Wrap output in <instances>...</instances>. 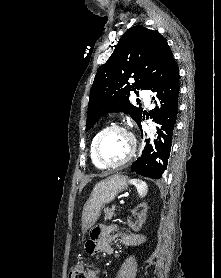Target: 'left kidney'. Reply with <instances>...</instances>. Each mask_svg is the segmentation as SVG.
Here are the masks:
<instances>
[{"mask_svg":"<svg viewBox=\"0 0 221 278\" xmlns=\"http://www.w3.org/2000/svg\"><path fill=\"white\" fill-rule=\"evenodd\" d=\"M139 207L142 208V211L140 214H138V218H139V221L143 222L146 219V212H147L148 207H147L146 203L140 204Z\"/></svg>","mask_w":221,"mask_h":278,"instance_id":"left-kidney-1","label":"left kidney"}]
</instances>
